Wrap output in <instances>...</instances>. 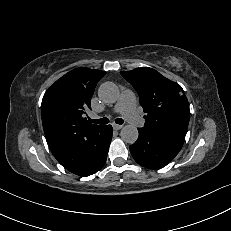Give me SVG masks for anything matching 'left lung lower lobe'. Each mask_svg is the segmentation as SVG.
I'll return each mask as SVG.
<instances>
[{"mask_svg":"<svg viewBox=\"0 0 231 231\" xmlns=\"http://www.w3.org/2000/svg\"><path fill=\"white\" fill-rule=\"evenodd\" d=\"M139 137L131 145L134 160L143 167L160 169L167 165L180 151L184 140L139 128Z\"/></svg>","mask_w":231,"mask_h":231,"instance_id":"obj_1","label":"left lung lower lobe"}]
</instances>
